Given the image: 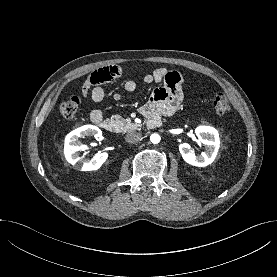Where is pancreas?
Returning <instances> with one entry per match:
<instances>
[{"label": "pancreas", "mask_w": 277, "mask_h": 277, "mask_svg": "<svg viewBox=\"0 0 277 277\" xmlns=\"http://www.w3.org/2000/svg\"><path fill=\"white\" fill-rule=\"evenodd\" d=\"M111 121L114 123V127L117 132L126 133L139 128V125L128 122L118 114L112 115Z\"/></svg>", "instance_id": "1"}]
</instances>
